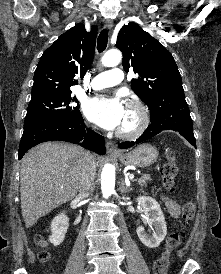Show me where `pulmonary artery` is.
Instances as JSON below:
<instances>
[{
	"label": "pulmonary artery",
	"mask_w": 221,
	"mask_h": 274,
	"mask_svg": "<svg viewBox=\"0 0 221 274\" xmlns=\"http://www.w3.org/2000/svg\"><path fill=\"white\" fill-rule=\"evenodd\" d=\"M122 79V71L119 68H113L95 76L90 83V87L93 90H101L119 84Z\"/></svg>",
	"instance_id": "obj_1"
}]
</instances>
